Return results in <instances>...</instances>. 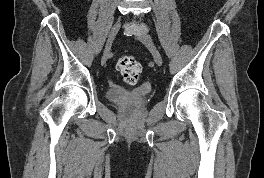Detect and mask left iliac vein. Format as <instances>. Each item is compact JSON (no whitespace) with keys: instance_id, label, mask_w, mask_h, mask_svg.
<instances>
[{"instance_id":"left-iliac-vein-1","label":"left iliac vein","mask_w":264,"mask_h":178,"mask_svg":"<svg viewBox=\"0 0 264 178\" xmlns=\"http://www.w3.org/2000/svg\"><path fill=\"white\" fill-rule=\"evenodd\" d=\"M137 38L141 41L152 53L155 63L161 66L163 63L162 56L155 46L152 37L146 32H140L137 34Z\"/></svg>"}]
</instances>
